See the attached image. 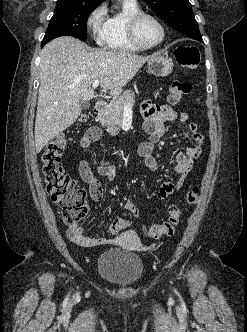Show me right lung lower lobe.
Masks as SVG:
<instances>
[{"instance_id":"98d812e1","label":"right lung lower lobe","mask_w":247,"mask_h":332,"mask_svg":"<svg viewBox=\"0 0 247 332\" xmlns=\"http://www.w3.org/2000/svg\"><path fill=\"white\" fill-rule=\"evenodd\" d=\"M65 35H66L65 32H46V34L42 40L41 47H43L46 43H48L52 39L60 37V36H65Z\"/></svg>"}]
</instances>
